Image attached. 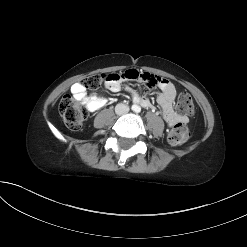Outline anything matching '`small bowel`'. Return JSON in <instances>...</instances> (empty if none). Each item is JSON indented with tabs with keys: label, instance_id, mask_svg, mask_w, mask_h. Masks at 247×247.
I'll return each mask as SVG.
<instances>
[{
	"label": "small bowel",
	"instance_id": "small-bowel-1",
	"mask_svg": "<svg viewBox=\"0 0 247 247\" xmlns=\"http://www.w3.org/2000/svg\"><path fill=\"white\" fill-rule=\"evenodd\" d=\"M128 82L133 84L143 83L145 86L158 87L157 101L162 108L164 120L170 127L175 126L179 122L186 121L185 118L179 116L173 109L176 88L172 82L165 78L152 75L149 72H139L133 68L120 71L119 73H110L104 80V87L111 92H119L122 84L124 85ZM126 90L131 94L134 103L147 108L151 106L148 98L139 95L130 88H126ZM70 91L73 98L82 102L90 112L99 110L107 103V100L98 94H88L81 83L73 84Z\"/></svg>",
	"mask_w": 247,
	"mask_h": 247
}]
</instances>
